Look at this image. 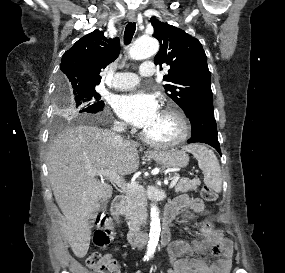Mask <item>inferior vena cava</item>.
<instances>
[{
  "mask_svg": "<svg viewBox=\"0 0 285 273\" xmlns=\"http://www.w3.org/2000/svg\"><path fill=\"white\" fill-rule=\"evenodd\" d=\"M125 130V124L121 122H115L114 127L111 131H108V134L111 138L112 143L114 144H122L123 138L120 136V133H122Z\"/></svg>",
  "mask_w": 285,
  "mask_h": 273,
  "instance_id": "inferior-vena-cava-1",
  "label": "inferior vena cava"
}]
</instances>
